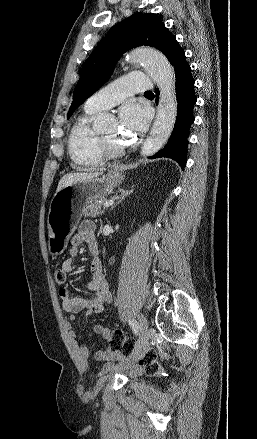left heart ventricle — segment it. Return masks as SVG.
Returning a JSON list of instances; mask_svg holds the SVG:
<instances>
[{
  "mask_svg": "<svg viewBox=\"0 0 257 439\" xmlns=\"http://www.w3.org/2000/svg\"><path fill=\"white\" fill-rule=\"evenodd\" d=\"M117 126H112L106 131L102 132V135L111 143L114 145L120 144L118 139V133H117Z\"/></svg>",
  "mask_w": 257,
  "mask_h": 439,
  "instance_id": "obj_1",
  "label": "left heart ventricle"
}]
</instances>
